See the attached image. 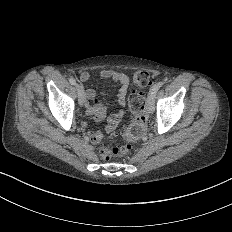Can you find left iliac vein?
Instances as JSON below:
<instances>
[{
	"instance_id": "4c4485c4",
	"label": "left iliac vein",
	"mask_w": 232,
	"mask_h": 232,
	"mask_svg": "<svg viewBox=\"0 0 232 232\" xmlns=\"http://www.w3.org/2000/svg\"><path fill=\"white\" fill-rule=\"evenodd\" d=\"M154 98H155V94L154 95H150L149 101L147 102V111L152 113L154 111Z\"/></svg>"
}]
</instances>
